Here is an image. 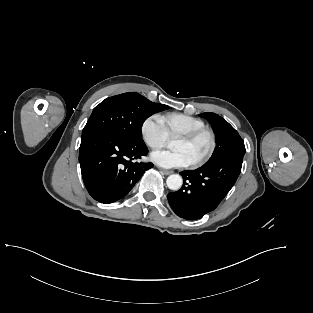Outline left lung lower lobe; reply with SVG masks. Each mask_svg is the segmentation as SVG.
Instances as JSON below:
<instances>
[{
  "mask_svg": "<svg viewBox=\"0 0 313 313\" xmlns=\"http://www.w3.org/2000/svg\"><path fill=\"white\" fill-rule=\"evenodd\" d=\"M243 156H231L183 171V186L168 194L172 210L181 218L195 220L213 211L235 184Z\"/></svg>",
  "mask_w": 313,
  "mask_h": 313,
  "instance_id": "obj_1",
  "label": "left lung lower lobe"
}]
</instances>
